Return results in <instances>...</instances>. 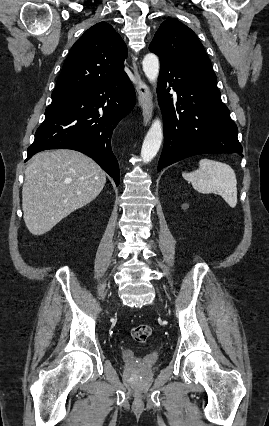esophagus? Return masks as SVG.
<instances>
[{
	"instance_id": "1",
	"label": "esophagus",
	"mask_w": 269,
	"mask_h": 426,
	"mask_svg": "<svg viewBox=\"0 0 269 426\" xmlns=\"http://www.w3.org/2000/svg\"><path fill=\"white\" fill-rule=\"evenodd\" d=\"M133 71L136 77V89L138 94L139 107L142 110L145 123L148 124L152 118L153 113L151 91L148 85L142 80L135 61H133Z\"/></svg>"
}]
</instances>
